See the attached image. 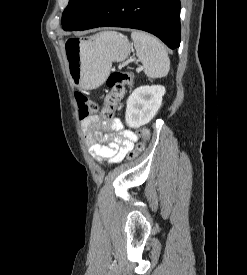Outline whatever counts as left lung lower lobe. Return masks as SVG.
<instances>
[{
  "label": "left lung lower lobe",
  "mask_w": 247,
  "mask_h": 275,
  "mask_svg": "<svg viewBox=\"0 0 247 275\" xmlns=\"http://www.w3.org/2000/svg\"><path fill=\"white\" fill-rule=\"evenodd\" d=\"M113 26L149 32L169 48L180 43V0H103L87 21L74 30Z\"/></svg>",
  "instance_id": "obj_1"
}]
</instances>
